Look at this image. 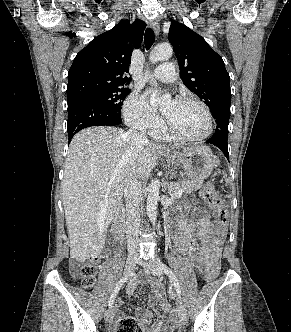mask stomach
<instances>
[{"label": "stomach", "mask_w": 291, "mask_h": 332, "mask_svg": "<svg viewBox=\"0 0 291 332\" xmlns=\"http://www.w3.org/2000/svg\"><path fill=\"white\" fill-rule=\"evenodd\" d=\"M168 160L182 168L192 180H204L210 176L216 166L215 157L205 146L183 147L165 152Z\"/></svg>", "instance_id": "1"}]
</instances>
